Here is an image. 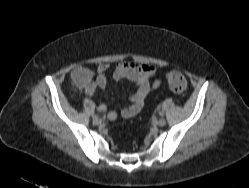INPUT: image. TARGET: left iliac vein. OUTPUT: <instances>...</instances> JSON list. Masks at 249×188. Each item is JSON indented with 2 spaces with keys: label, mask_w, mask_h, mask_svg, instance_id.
Masks as SVG:
<instances>
[{
  "label": "left iliac vein",
  "mask_w": 249,
  "mask_h": 188,
  "mask_svg": "<svg viewBox=\"0 0 249 188\" xmlns=\"http://www.w3.org/2000/svg\"><path fill=\"white\" fill-rule=\"evenodd\" d=\"M157 125L158 126H164L166 125V120L164 118H160L158 121H157Z\"/></svg>",
  "instance_id": "left-iliac-vein-1"
}]
</instances>
